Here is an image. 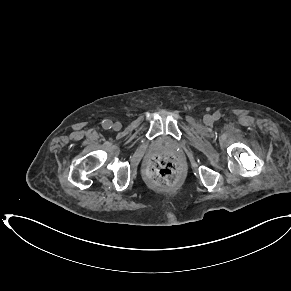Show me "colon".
<instances>
[{
    "label": "colon",
    "mask_w": 291,
    "mask_h": 291,
    "mask_svg": "<svg viewBox=\"0 0 291 291\" xmlns=\"http://www.w3.org/2000/svg\"><path fill=\"white\" fill-rule=\"evenodd\" d=\"M148 173L156 185L166 187L176 181L178 164L173 157L162 155L152 159Z\"/></svg>",
    "instance_id": "5ec220e1"
}]
</instances>
